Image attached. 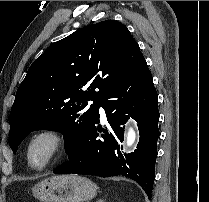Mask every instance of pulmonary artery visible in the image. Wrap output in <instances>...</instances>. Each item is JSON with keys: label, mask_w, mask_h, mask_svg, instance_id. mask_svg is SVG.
I'll return each mask as SVG.
<instances>
[{"label": "pulmonary artery", "mask_w": 209, "mask_h": 202, "mask_svg": "<svg viewBox=\"0 0 209 202\" xmlns=\"http://www.w3.org/2000/svg\"><path fill=\"white\" fill-rule=\"evenodd\" d=\"M92 103H93V101H90V102H89V104H92ZM99 111H100L101 115L103 116V114H104V109H103V104H102V103L99 104Z\"/></svg>", "instance_id": "e3ab8cb5"}]
</instances>
